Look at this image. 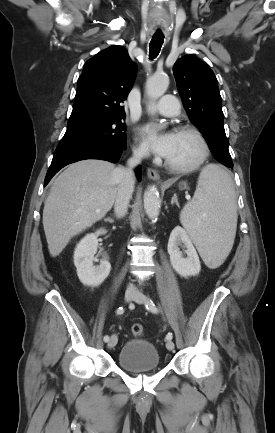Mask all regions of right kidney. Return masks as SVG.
Segmentation results:
<instances>
[{
	"instance_id": "right-kidney-1",
	"label": "right kidney",
	"mask_w": 275,
	"mask_h": 433,
	"mask_svg": "<svg viewBox=\"0 0 275 433\" xmlns=\"http://www.w3.org/2000/svg\"><path fill=\"white\" fill-rule=\"evenodd\" d=\"M100 229L95 233L86 235L76 246L74 251V264L80 281L86 286H99L109 275L111 265L106 259L99 266L93 265L94 255L97 252V237L104 234Z\"/></svg>"
}]
</instances>
